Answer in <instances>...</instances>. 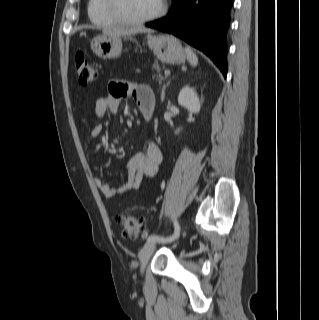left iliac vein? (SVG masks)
Masks as SVG:
<instances>
[{
  "label": "left iliac vein",
  "instance_id": "1",
  "mask_svg": "<svg viewBox=\"0 0 319 320\" xmlns=\"http://www.w3.org/2000/svg\"><path fill=\"white\" fill-rule=\"evenodd\" d=\"M155 243L156 242H147L140 250L139 259L142 272L155 250Z\"/></svg>",
  "mask_w": 319,
  "mask_h": 320
}]
</instances>
